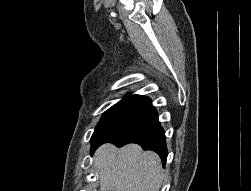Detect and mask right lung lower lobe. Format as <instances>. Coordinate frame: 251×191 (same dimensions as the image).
Wrapping results in <instances>:
<instances>
[{
    "instance_id": "right-lung-lower-lobe-1",
    "label": "right lung lower lobe",
    "mask_w": 251,
    "mask_h": 191,
    "mask_svg": "<svg viewBox=\"0 0 251 191\" xmlns=\"http://www.w3.org/2000/svg\"><path fill=\"white\" fill-rule=\"evenodd\" d=\"M105 143H113L117 147L129 143L139 144L144 150L156 152L162 160V165L165 166L168 155L165 133L158 121V114L154 106L143 111Z\"/></svg>"
}]
</instances>
